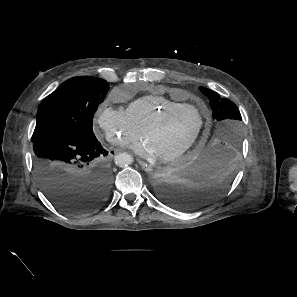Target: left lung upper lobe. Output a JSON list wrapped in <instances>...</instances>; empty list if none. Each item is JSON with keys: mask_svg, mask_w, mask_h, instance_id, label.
I'll use <instances>...</instances> for the list:
<instances>
[{"mask_svg": "<svg viewBox=\"0 0 297 297\" xmlns=\"http://www.w3.org/2000/svg\"><path fill=\"white\" fill-rule=\"evenodd\" d=\"M200 91L210 100L213 118L216 119L208 144H217L221 148L237 153L241 144V114L237 106L226 98L205 87Z\"/></svg>", "mask_w": 297, "mask_h": 297, "instance_id": "obj_1", "label": "left lung upper lobe"}]
</instances>
